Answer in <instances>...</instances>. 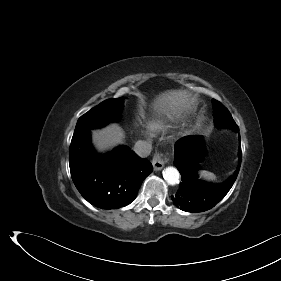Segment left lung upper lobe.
Returning <instances> with one entry per match:
<instances>
[{"mask_svg": "<svg viewBox=\"0 0 281 281\" xmlns=\"http://www.w3.org/2000/svg\"><path fill=\"white\" fill-rule=\"evenodd\" d=\"M212 104L215 123L220 124L223 127H228L236 130L238 126L234 122L230 112L215 99L212 100Z\"/></svg>", "mask_w": 281, "mask_h": 281, "instance_id": "obj_1", "label": "left lung upper lobe"}]
</instances>
